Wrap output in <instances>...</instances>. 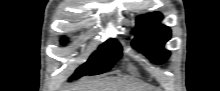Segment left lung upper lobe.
<instances>
[{
	"label": "left lung upper lobe",
	"mask_w": 220,
	"mask_h": 91,
	"mask_svg": "<svg viewBox=\"0 0 220 91\" xmlns=\"http://www.w3.org/2000/svg\"><path fill=\"white\" fill-rule=\"evenodd\" d=\"M162 15L158 12L140 16L133 30L135 38L132 46L155 63H163L170 55L163 48L171 37L169 27L160 24Z\"/></svg>",
	"instance_id": "left-lung-upper-lobe-1"
}]
</instances>
